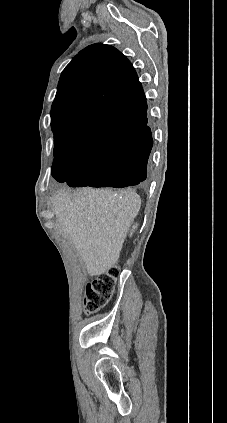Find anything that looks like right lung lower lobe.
<instances>
[{
  "label": "right lung lower lobe",
  "instance_id": "obj_1",
  "mask_svg": "<svg viewBox=\"0 0 227 423\" xmlns=\"http://www.w3.org/2000/svg\"><path fill=\"white\" fill-rule=\"evenodd\" d=\"M99 113L108 120L128 122L133 133L124 140L103 145L88 154L72 174L67 161H54L52 176L70 187L143 186L150 170L153 146L151 129L147 126L145 96L130 103L103 107Z\"/></svg>",
  "mask_w": 227,
  "mask_h": 423
}]
</instances>
